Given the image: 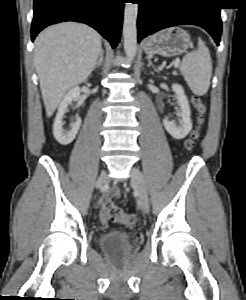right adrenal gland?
Listing matches in <instances>:
<instances>
[{
    "label": "right adrenal gland",
    "instance_id": "2a0ac1e0",
    "mask_svg": "<svg viewBox=\"0 0 246 300\" xmlns=\"http://www.w3.org/2000/svg\"><path fill=\"white\" fill-rule=\"evenodd\" d=\"M103 58H104V52H103V50L101 49L100 54H99V58H98V60L96 61L95 65H94V67H93V70L99 68V67L102 65V63H103Z\"/></svg>",
    "mask_w": 246,
    "mask_h": 300
}]
</instances>
